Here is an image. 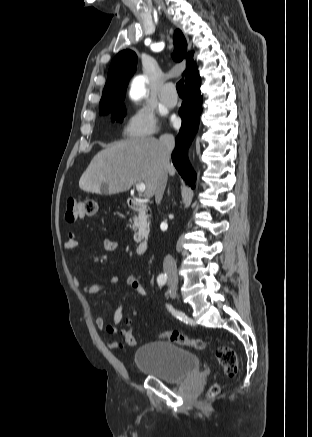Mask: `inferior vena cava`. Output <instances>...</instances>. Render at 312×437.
<instances>
[{"label":"inferior vena cava","instance_id":"602c4592","mask_svg":"<svg viewBox=\"0 0 312 437\" xmlns=\"http://www.w3.org/2000/svg\"><path fill=\"white\" fill-rule=\"evenodd\" d=\"M161 146V155L163 159H169L170 155L175 147L174 137L170 134H164L159 138ZM167 183V174L162 173L159 177L157 184L155 198L156 202L159 204L162 200L164 190ZM163 269L168 274H177V266L174 258L171 255H167L163 261Z\"/></svg>","mask_w":312,"mask_h":437}]
</instances>
